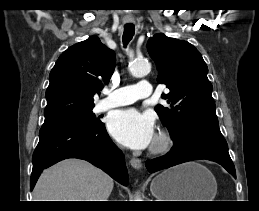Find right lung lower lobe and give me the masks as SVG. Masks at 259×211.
Segmentation results:
<instances>
[{
    "instance_id": "1",
    "label": "right lung lower lobe",
    "mask_w": 259,
    "mask_h": 211,
    "mask_svg": "<svg viewBox=\"0 0 259 211\" xmlns=\"http://www.w3.org/2000/svg\"><path fill=\"white\" fill-rule=\"evenodd\" d=\"M66 158L87 160L118 182L128 183L124 155L110 139L104 124L92 127L56 124L42 126L39 131L30 189L33 190L44 169Z\"/></svg>"
}]
</instances>
